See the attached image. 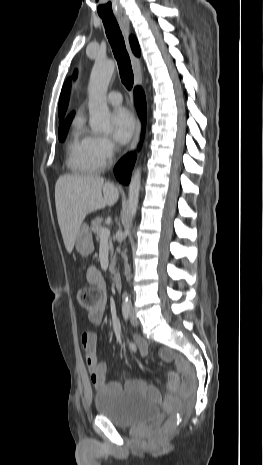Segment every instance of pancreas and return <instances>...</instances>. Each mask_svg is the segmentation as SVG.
<instances>
[{"mask_svg":"<svg viewBox=\"0 0 263 465\" xmlns=\"http://www.w3.org/2000/svg\"><path fill=\"white\" fill-rule=\"evenodd\" d=\"M102 221H103L102 218L97 217L95 220H92L91 222V230L95 234L97 240L100 239V231L103 228ZM108 248H109L110 255H111V262H110L109 270L113 272L114 266H115V256L113 254V245H112L111 240H109Z\"/></svg>","mask_w":263,"mask_h":465,"instance_id":"1","label":"pancreas"}]
</instances>
